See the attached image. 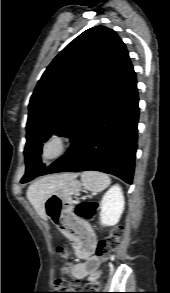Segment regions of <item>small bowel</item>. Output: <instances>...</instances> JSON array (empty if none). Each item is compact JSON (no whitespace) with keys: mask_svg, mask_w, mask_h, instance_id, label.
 I'll list each match as a JSON object with an SVG mask.
<instances>
[{"mask_svg":"<svg viewBox=\"0 0 170 293\" xmlns=\"http://www.w3.org/2000/svg\"><path fill=\"white\" fill-rule=\"evenodd\" d=\"M70 241L73 244L75 252L85 258L72 267V275L79 279H87L89 281L98 279L101 275L99 258L95 255H90L89 250L81 244L79 239L72 237Z\"/></svg>","mask_w":170,"mask_h":293,"instance_id":"c3829d8e","label":"small bowel"}]
</instances>
